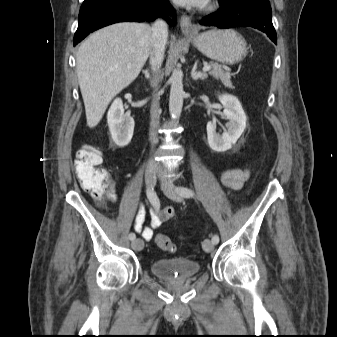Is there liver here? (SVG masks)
I'll use <instances>...</instances> for the list:
<instances>
[{
  "label": "liver",
  "instance_id": "6515ba94",
  "mask_svg": "<svg viewBox=\"0 0 337 337\" xmlns=\"http://www.w3.org/2000/svg\"><path fill=\"white\" fill-rule=\"evenodd\" d=\"M152 50L144 23H117L93 33L78 48L76 69L87 125L95 127L110 101L139 75Z\"/></svg>",
  "mask_w": 337,
  "mask_h": 337
}]
</instances>
